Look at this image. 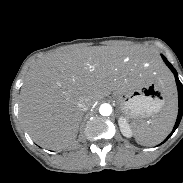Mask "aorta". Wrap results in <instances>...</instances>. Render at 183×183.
<instances>
[{
  "mask_svg": "<svg viewBox=\"0 0 183 183\" xmlns=\"http://www.w3.org/2000/svg\"><path fill=\"white\" fill-rule=\"evenodd\" d=\"M99 113L102 116H109L112 113V106L108 103L101 104L99 108Z\"/></svg>",
  "mask_w": 183,
  "mask_h": 183,
  "instance_id": "obj_1",
  "label": "aorta"
}]
</instances>
